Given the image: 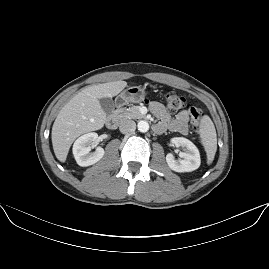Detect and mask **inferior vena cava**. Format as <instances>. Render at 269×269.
I'll return each instance as SVG.
<instances>
[{
    "label": "inferior vena cava",
    "mask_w": 269,
    "mask_h": 269,
    "mask_svg": "<svg viewBox=\"0 0 269 269\" xmlns=\"http://www.w3.org/2000/svg\"><path fill=\"white\" fill-rule=\"evenodd\" d=\"M135 129L136 123L133 120H124L119 127L120 132L123 134L132 133Z\"/></svg>",
    "instance_id": "obj_1"
}]
</instances>
